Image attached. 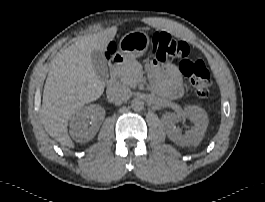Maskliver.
Masks as SVG:
<instances>
[{"instance_id":"obj_1","label":"liver","mask_w":265,"mask_h":202,"mask_svg":"<svg viewBox=\"0 0 265 202\" xmlns=\"http://www.w3.org/2000/svg\"><path fill=\"white\" fill-rule=\"evenodd\" d=\"M117 27L101 29L81 36L53 59L42 100V123L46 132L61 145L74 147L68 134V122L83 105L101 97L105 84L96 74L91 52L106 51Z\"/></svg>"}]
</instances>
